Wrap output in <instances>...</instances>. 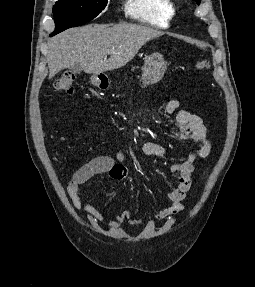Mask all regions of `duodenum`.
I'll list each match as a JSON object with an SVG mask.
<instances>
[{"instance_id":"obj_1","label":"duodenum","mask_w":255,"mask_h":287,"mask_svg":"<svg viewBox=\"0 0 255 287\" xmlns=\"http://www.w3.org/2000/svg\"><path fill=\"white\" fill-rule=\"evenodd\" d=\"M97 86L99 88L105 89V88H107L108 83L106 81H103V80H98L97 81Z\"/></svg>"}]
</instances>
